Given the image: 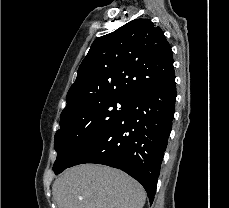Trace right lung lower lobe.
I'll list each match as a JSON object with an SVG mask.
<instances>
[{
	"instance_id": "1",
	"label": "right lung lower lobe",
	"mask_w": 229,
	"mask_h": 208,
	"mask_svg": "<svg viewBox=\"0 0 229 208\" xmlns=\"http://www.w3.org/2000/svg\"><path fill=\"white\" fill-rule=\"evenodd\" d=\"M175 75L141 92L124 114L90 141L68 167L84 163L121 169L153 202L175 111Z\"/></svg>"
}]
</instances>
